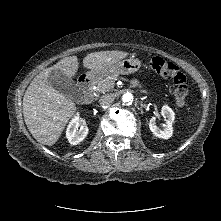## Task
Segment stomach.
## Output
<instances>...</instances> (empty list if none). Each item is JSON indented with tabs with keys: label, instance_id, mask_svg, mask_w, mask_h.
Returning <instances> with one entry per match:
<instances>
[{
	"label": "stomach",
	"instance_id": "1",
	"mask_svg": "<svg viewBox=\"0 0 221 221\" xmlns=\"http://www.w3.org/2000/svg\"><path fill=\"white\" fill-rule=\"evenodd\" d=\"M142 66V62L137 58L121 60L114 65L102 70H90L88 75L93 79H101L109 74H131L137 72Z\"/></svg>",
	"mask_w": 221,
	"mask_h": 221
}]
</instances>
